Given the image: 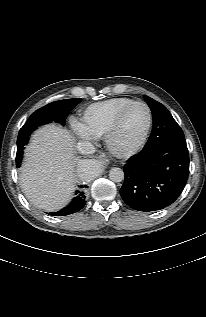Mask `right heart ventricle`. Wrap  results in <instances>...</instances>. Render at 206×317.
<instances>
[{
	"label": "right heart ventricle",
	"instance_id": "obj_1",
	"mask_svg": "<svg viewBox=\"0 0 206 317\" xmlns=\"http://www.w3.org/2000/svg\"><path fill=\"white\" fill-rule=\"evenodd\" d=\"M133 102L129 98H112L88 106L82 115V126L92 137L106 134L116 114Z\"/></svg>",
	"mask_w": 206,
	"mask_h": 317
}]
</instances>
